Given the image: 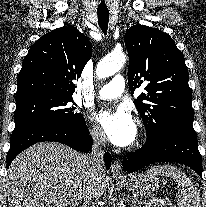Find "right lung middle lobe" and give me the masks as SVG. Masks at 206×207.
<instances>
[{
  "label": "right lung middle lobe",
  "mask_w": 206,
  "mask_h": 207,
  "mask_svg": "<svg viewBox=\"0 0 206 207\" xmlns=\"http://www.w3.org/2000/svg\"><path fill=\"white\" fill-rule=\"evenodd\" d=\"M71 102L72 96L50 94H37L16 100L12 136L46 125L83 128L85 120L80 113L75 112L76 108L70 105Z\"/></svg>",
  "instance_id": "obj_1"
}]
</instances>
